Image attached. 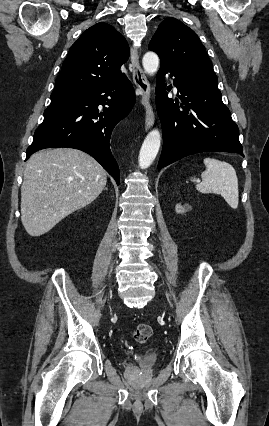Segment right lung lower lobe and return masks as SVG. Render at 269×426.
Here are the masks:
<instances>
[{"mask_svg": "<svg viewBox=\"0 0 269 426\" xmlns=\"http://www.w3.org/2000/svg\"><path fill=\"white\" fill-rule=\"evenodd\" d=\"M134 104V88L126 76L109 85L80 90L72 100L45 110L44 120L26 150V160L44 148L79 149L94 157L119 185L110 139L116 124ZM99 105L109 107L100 112Z\"/></svg>", "mask_w": 269, "mask_h": 426, "instance_id": "obj_1", "label": "right lung lower lobe"}]
</instances>
